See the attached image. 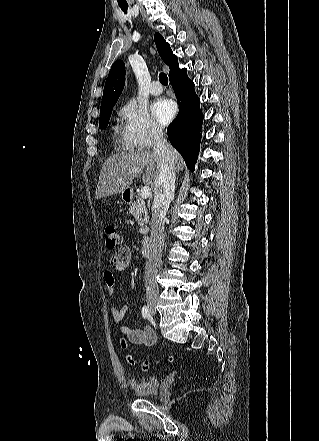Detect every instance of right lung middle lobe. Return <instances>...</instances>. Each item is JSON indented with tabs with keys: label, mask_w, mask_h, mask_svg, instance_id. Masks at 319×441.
Returning a JSON list of instances; mask_svg holds the SVG:
<instances>
[{
	"label": "right lung middle lobe",
	"mask_w": 319,
	"mask_h": 441,
	"mask_svg": "<svg viewBox=\"0 0 319 441\" xmlns=\"http://www.w3.org/2000/svg\"><path fill=\"white\" fill-rule=\"evenodd\" d=\"M113 107H107L100 110L99 128L106 129Z\"/></svg>",
	"instance_id": "right-lung-middle-lobe-1"
}]
</instances>
